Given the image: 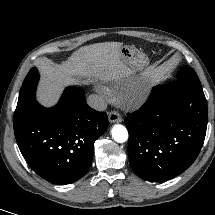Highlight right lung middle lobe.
I'll return each instance as SVG.
<instances>
[{
	"label": "right lung middle lobe",
	"instance_id": "dd1d6c3e",
	"mask_svg": "<svg viewBox=\"0 0 215 215\" xmlns=\"http://www.w3.org/2000/svg\"><path fill=\"white\" fill-rule=\"evenodd\" d=\"M39 80V74L37 69L34 67L30 70L26 76L19 94L17 107L14 113L13 125L18 126L24 117L30 112L34 106L35 90Z\"/></svg>",
	"mask_w": 215,
	"mask_h": 215
}]
</instances>
